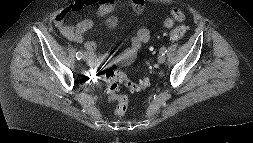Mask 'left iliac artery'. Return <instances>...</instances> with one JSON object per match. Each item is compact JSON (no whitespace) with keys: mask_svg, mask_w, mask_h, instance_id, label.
Wrapping results in <instances>:
<instances>
[{"mask_svg":"<svg viewBox=\"0 0 253 143\" xmlns=\"http://www.w3.org/2000/svg\"><path fill=\"white\" fill-rule=\"evenodd\" d=\"M167 52V49L165 48V47H162L161 49H160V54L163 56V55H165V53Z\"/></svg>","mask_w":253,"mask_h":143,"instance_id":"obj_1","label":"left iliac artery"}]
</instances>
